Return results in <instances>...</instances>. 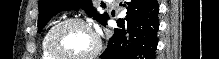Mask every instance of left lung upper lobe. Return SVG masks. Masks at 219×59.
<instances>
[{"mask_svg":"<svg viewBox=\"0 0 219 59\" xmlns=\"http://www.w3.org/2000/svg\"><path fill=\"white\" fill-rule=\"evenodd\" d=\"M38 32L58 12L65 10H79L80 8L100 22L102 25L109 18L107 13L99 14L92 6L91 0H39Z\"/></svg>","mask_w":219,"mask_h":59,"instance_id":"obj_1","label":"left lung upper lobe"}]
</instances>
